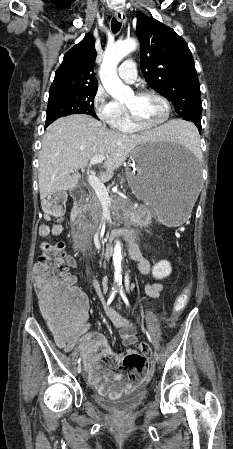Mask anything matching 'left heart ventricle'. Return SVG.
<instances>
[{"label":"left heart ventricle","mask_w":233,"mask_h":449,"mask_svg":"<svg viewBox=\"0 0 233 449\" xmlns=\"http://www.w3.org/2000/svg\"><path fill=\"white\" fill-rule=\"evenodd\" d=\"M125 105L130 106L141 121L149 124L159 122L165 114L163 102L151 95L137 97L132 94Z\"/></svg>","instance_id":"obj_1"}]
</instances>
